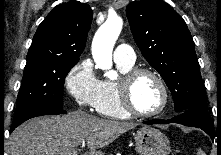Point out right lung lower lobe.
<instances>
[{
    "label": "right lung lower lobe",
    "mask_w": 221,
    "mask_h": 155,
    "mask_svg": "<svg viewBox=\"0 0 221 155\" xmlns=\"http://www.w3.org/2000/svg\"><path fill=\"white\" fill-rule=\"evenodd\" d=\"M66 111H64L61 108H44L41 110H38L37 112L33 113L30 116H27L26 118L19 120V121H14L11 125L10 132H12L17 126H19L21 123L25 122L26 120L37 117V116H42V115H55V114H64Z\"/></svg>",
    "instance_id": "right-lung-lower-lobe-1"
}]
</instances>
